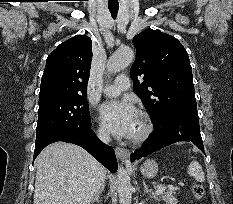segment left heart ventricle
<instances>
[{"mask_svg":"<svg viewBox=\"0 0 233 204\" xmlns=\"http://www.w3.org/2000/svg\"><path fill=\"white\" fill-rule=\"evenodd\" d=\"M141 128V120L140 117L137 115L135 123H134V128H133V135L137 134Z\"/></svg>","mask_w":233,"mask_h":204,"instance_id":"b2bd125f","label":"left heart ventricle"}]
</instances>
